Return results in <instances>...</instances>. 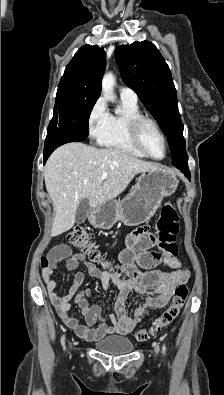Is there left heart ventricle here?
<instances>
[{"instance_id":"b2bd125f","label":"left heart ventricle","mask_w":224,"mask_h":395,"mask_svg":"<svg viewBox=\"0 0 224 395\" xmlns=\"http://www.w3.org/2000/svg\"><path fill=\"white\" fill-rule=\"evenodd\" d=\"M143 143L147 151L156 158L164 155V143L159 134L150 125H146L142 131Z\"/></svg>"}]
</instances>
